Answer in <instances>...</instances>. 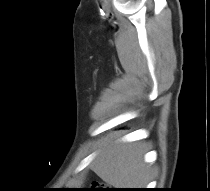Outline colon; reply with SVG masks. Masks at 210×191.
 Masks as SVG:
<instances>
[{"label":"colon","mask_w":210,"mask_h":191,"mask_svg":"<svg viewBox=\"0 0 210 191\" xmlns=\"http://www.w3.org/2000/svg\"><path fill=\"white\" fill-rule=\"evenodd\" d=\"M93 191H107L105 188L102 187V185L95 183L94 188L92 189Z\"/></svg>","instance_id":"obj_1"}]
</instances>
